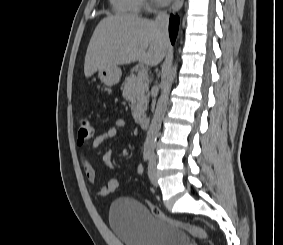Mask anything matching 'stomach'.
Instances as JSON below:
<instances>
[{
    "mask_svg": "<svg viewBox=\"0 0 283 245\" xmlns=\"http://www.w3.org/2000/svg\"><path fill=\"white\" fill-rule=\"evenodd\" d=\"M121 69L116 65H109L98 69L99 79L107 86L116 85L121 78Z\"/></svg>",
    "mask_w": 283,
    "mask_h": 245,
    "instance_id": "0dacf381",
    "label": "stomach"
}]
</instances>
